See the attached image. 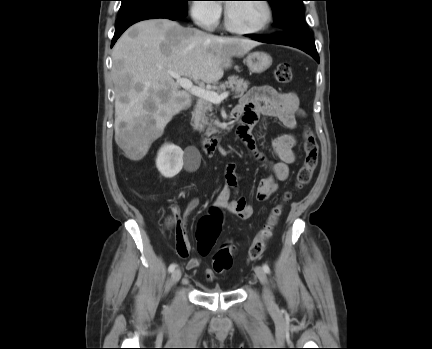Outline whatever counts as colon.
<instances>
[{
	"instance_id": "5ec220e1",
	"label": "colon",
	"mask_w": 432,
	"mask_h": 349,
	"mask_svg": "<svg viewBox=\"0 0 432 349\" xmlns=\"http://www.w3.org/2000/svg\"><path fill=\"white\" fill-rule=\"evenodd\" d=\"M275 78L279 83H289L292 80V70L288 63H280L275 69ZM304 158L299 168L295 186L297 189L304 188L311 181L318 164L319 146L316 137L310 128L303 132ZM291 192H286L280 203L275 205L265 224L250 244L247 259L254 261L263 254L269 240L273 237L274 229L282 215L285 204L291 199ZM220 210L214 208L210 215L203 217L196 231L198 251L201 255H207L211 251L220 233ZM234 249L231 245H224L213 255L212 265L216 273H226L233 265Z\"/></svg>"
}]
</instances>
